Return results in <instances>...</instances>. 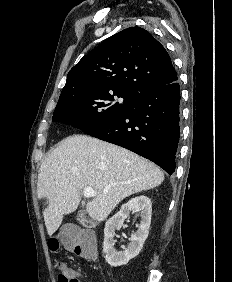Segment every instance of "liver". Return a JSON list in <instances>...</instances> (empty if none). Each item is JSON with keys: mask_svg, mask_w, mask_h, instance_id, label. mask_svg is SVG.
<instances>
[{"mask_svg": "<svg viewBox=\"0 0 232 282\" xmlns=\"http://www.w3.org/2000/svg\"><path fill=\"white\" fill-rule=\"evenodd\" d=\"M163 180L156 165L129 150L86 135L69 136L47 156L38 173L37 195L48 204L43 212L48 235L55 233L65 214L77 209L85 187L97 193L86 210L100 222L123 199Z\"/></svg>", "mask_w": 232, "mask_h": 282, "instance_id": "1", "label": "liver"}]
</instances>
